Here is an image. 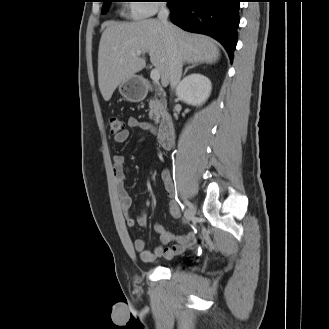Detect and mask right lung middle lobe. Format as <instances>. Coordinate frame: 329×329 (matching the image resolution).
Instances as JSON below:
<instances>
[{
  "label": "right lung middle lobe",
  "instance_id": "1",
  "mask_svg": "<svg viewBox=\"0 0 329 329\" xmlns=\"http://www.w3.org/2000/svg\"><path fill=\"white\" fill-rule=\"evenodd\" d=\"M115 0H103V8H102V14H105L110 6V2H114Z\"/></svg>",
  "mask_w": 329,
  "mask_h": 329
}]
</instances>
